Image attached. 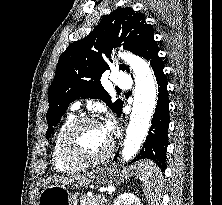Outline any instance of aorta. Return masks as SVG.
Here are the masks:
<instances>
[{
  "mask_svg": "<svg viewBox=\"0 0 222 205\" xmlns=\"http://www.w3.org/2000/svg\"><path fill=\"white\" fill-rule=\"evenodd\" d=\"M135 76L134 100L129 125L121 151L122 162H128L142 148L157 101V85L149 63L129 52H119Z\"/></svg>",
  "mask_w": 222,
  "mask_h": 205,
  "instance_id": "aorta-1",
  "label": "aorta"
}]
</instances>
